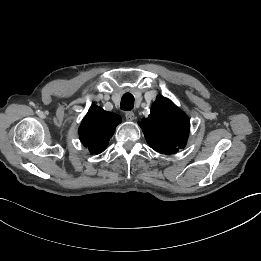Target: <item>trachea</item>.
<instances>
[{"instance_id": "trachea-1", "label": "trachea", "mask_w": 261, "mask_h": 261, "mask_svg": "<svg viewBox=\"0 0 261 261\" xmlns=\"http://www.w3.org/2000/svg\"><path fill=\"white\" fill-rule=\"evenodd\" d=\"M134 106V96L131 93H125L121 98L120 108L122 110H131Z\"/></svg>"}]
</instances>
